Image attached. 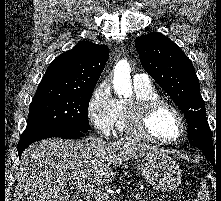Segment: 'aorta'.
<instances>
[{
    "instance_id": "1",
    "label": "aorta",
    "mask_w": 221,
    "mask_h": 201,
    "mask_svg": "<svg viewBox=\"0 0 221 201\" xmlns=\"http://www.w3.org/2000/svg\"><path fill=\"white\" fill-rule=\"evenodd\" d=\"M113 86L120 97H129L132 93L130 81V67L128 64H121L114 73Z\"/></svg>"
}]
</instances>
